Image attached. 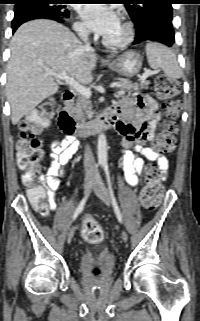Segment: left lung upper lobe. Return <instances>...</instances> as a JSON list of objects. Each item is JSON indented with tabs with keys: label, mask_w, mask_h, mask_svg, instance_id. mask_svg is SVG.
Here are the masks:
<instances>
[{
	"label": "left lung upper lobe",
	"mask_w": 200,
	"mask_h": 321,
	"mask_svg": "<svg viewBox=\"0 0 200 321\" xmlns=\"http://www.w3.org/2000/svg\"><path fill=\"white\" fill-rule=\"evenodd\" d=\"M134 24L154 17L172 20L174 0H123Z\"/></svg>",
	"instance_id": "1"
}]
</instances>
